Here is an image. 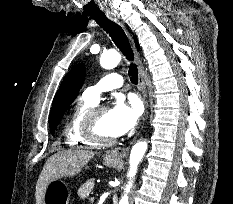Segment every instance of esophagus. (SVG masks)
<instances>
[{
	"mask_svg": "<svg viewBox=\"0 0 233 204\" xmlns=\"http://www.w3.org/2000/svg\"><path fill=\"white\" fill-rule=\"evenodd\" d=\"M107 15L115 17V15L110 11H107ZM129 38H130V40H132L130 35H129ZM133 48H134L135 62H136L137 67H138V89H139V92L142 96L143 102H144L145 107H146V113H147V108H148V98L147 97H148V95H147V89H146V84H145V80H144L143 66L140 62L138 52L136 51L134 45H133ZM125 155H126V149L122 148V147H118V148H115V149L109 151L106 156L110 159L121 160L122 158H124Z\"/></svg>",
	"mask_w": 233,
	"mask_h": 204,
	"instance_id": "obj_1",
	"label": "esophagus"
}]
</instances>
